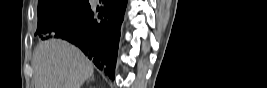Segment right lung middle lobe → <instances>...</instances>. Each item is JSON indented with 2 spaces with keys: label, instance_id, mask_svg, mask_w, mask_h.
Wrapping results in <instances>:
<instances>
[{
  "label": "right lung middle lobe",
  "instance_id": "obj_1",
  "mask_svg": "<svg viewBox=\"0 0 267 88\" xmlns=\"http://www.w3.org/2000/svg\"><path fill=\"white\" fill-rule=\"evenodd\" d=\"M89 5L88 0H39L36 34L48 39L58 25L74 19Z\"/></svg>",
  "mask_w": 267,
  "mask_h": 88
}]
</instances>
